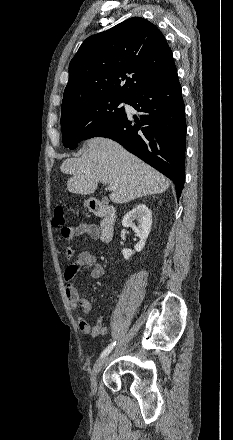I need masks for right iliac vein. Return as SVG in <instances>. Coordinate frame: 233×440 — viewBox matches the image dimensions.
Listing matches in <instances>:
<instances>
[{
    "instance_id": "63e3f726",
    "label": "right iliac vein",
    "mask_w": 233,
    "mask_h": 440,
    "mask_svg": "<svg viewBox=\"0 0 233 440\" xmlns=\"http://www.w3.org/2000/svg\"><path fill=\"white\" fill-rule=\"evenodd\" d=\"M107 361H108V356L101 357L95 362L93 366V370L91 373V389L93 393L96 392V386H97L96 376L103 368V366L107 363Z\"/></svg>"
}]
</instances>
